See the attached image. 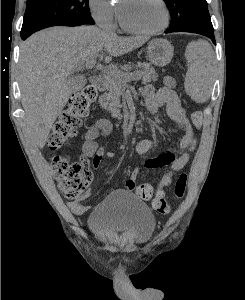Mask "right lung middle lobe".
<instances>
[{"mask_svg":"<svg viewBox=\"0 0 245 300\" xmlns=\"http://www.w3.org/2000/svg\"><path fill=\"white\" fill-rule=\"evenodd\" d=\"M94 23L88 0H27L21 36L51 26Z\"/></svg>","mask_w":245,"mask_h":300,"instance_id":"dd1d6c3e","label":"right lung middle lobe"}]
</instances>
